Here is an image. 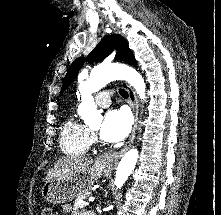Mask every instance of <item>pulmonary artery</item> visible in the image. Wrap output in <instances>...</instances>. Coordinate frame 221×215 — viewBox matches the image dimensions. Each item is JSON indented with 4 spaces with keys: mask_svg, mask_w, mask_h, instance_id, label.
<instances>
[{
    "mask_svg": "<svg viewBox=\"0 0 221 215\" xmlns=\"http://www.w3.org/2000/svg\"><path fill=\"white\" fill-rule=\"evenodd\" d=\"M96 104L100 107L106 108L111 104V92L102 91L96 95Z\"/></svg>",
    "mask_w": 221,
    "mask_h": 215,
    "instance_id": "e3ab8cb5",
    "label": "pulmonary artery"
}]
</instances>
